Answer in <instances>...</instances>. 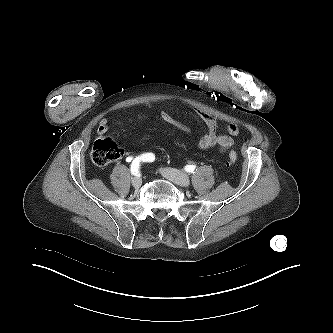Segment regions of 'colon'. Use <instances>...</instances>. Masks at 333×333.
<instances>
[{
  "mask_svg": "<svg viewBox=\"0 0 333 333\" xmlns=\"http://www.w3.org/2000/svg\"><path fill=\"white\" fill-rule=\"evenodd\" d=\"M151 117L142 114L135 119V123H144L150 121ZM123 155V150L115 142L108 138L97 139L90 152L91 161L97 166H106L113 161L118 160ZM237 160V154L234 150L229 153V163L234 164Z\"/></svg>",
  "mask_w": 333,
  "mask_h": 333,
  "instance_id": "obj_1",
  "label": "colon"
}]
</instances>
